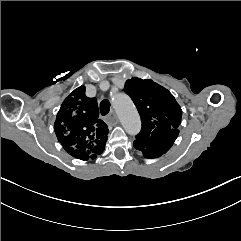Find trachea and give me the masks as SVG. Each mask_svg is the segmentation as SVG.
Returning a JSON list of instances; mask_svg holds the SVG:
<instances>
[{
    "mask_svg": "<svg viewBox=\"0 0 241 241\" xmlns=\"http://www.w3.org/2000/svg\"><path fill=\"white\" fill-rule=\"evenodd\" d=\"M110 111V102L107 99H104L101 101L100 103V112L101 114L104 116L106 114H108V112Z\"/></svg>",
    "mask_w": 241,
    "mask_h": 241,
    "instance_id": "3493384b",
    "label": "trachea"
}]
</instances>
